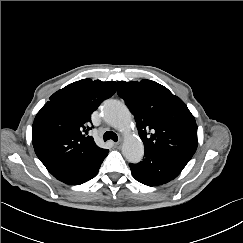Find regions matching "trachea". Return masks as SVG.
Returning <instances> with one entry per match:
<instances>
[{
    "label": "trachea",
    "instance_id": "1",
    "mask_svg": "<svg viewBox=\"0 0 243 243\" xmlns=\"http://www.w3.org/2000/svg\"><path fill=\"white\" fill-rule=\"evenodd\" d=\"M103 139H104V141L113 140V141L117 142L118 136L112 131H106L104 133Z\"/></svg>",
    "mask_w": 243,
    "mask_h": 243
}]
</instances>
